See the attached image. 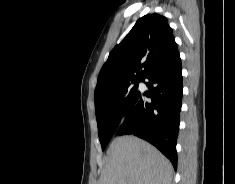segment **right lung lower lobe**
Segmentation results:
<instances>
[{
	"mask_svg": "<svg viewBox=\"0 0 235 184\" xmlns=\"http://www.w3.org/2000/svg\"><path fill=\"white\" fill-rule=\"evenodd\" d=\"M144 79H148L149 93L139 92L117 134H133L150 142L172 162L176 170V142L183 91L179 51L155 66ZM145 96L150 97L151 102L145 101Z\"/></svg>",
	"mask_w": 235,
	"mask_h": 184,
	"instance_id": "right-lung-lower-lobe-1",
	"label": "right lung lower lobe"
}]
</instances>
